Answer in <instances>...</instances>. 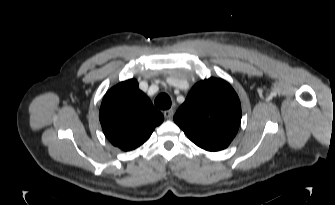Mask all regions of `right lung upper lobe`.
<instances>
[{"mask_svg": "<svg viewBox=\"0 0 335 205\" xmlns=\"http://www.w3.org/2000/svg\"><path fill=\"white\" fill-rule=\"evenodd\" d=\"M99 118L109 141L124 151L143 144L164 120L134 79L120 82L106 93Z\"/></svg>", "mask_w": 335, "mask_h": 205, "instance_id": "right-lung-upper-lobe-1", "label": "right lung upper lobe"}]
</instances>
